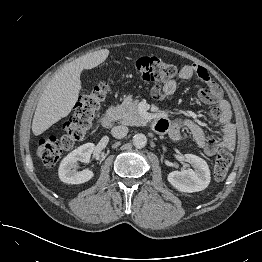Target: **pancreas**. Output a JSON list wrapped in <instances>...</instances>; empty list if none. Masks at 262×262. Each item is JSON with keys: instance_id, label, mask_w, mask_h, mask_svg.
I'll return each mask as SVG.
<instances>
[{"instance_id": "cf45deb5", "label": "pancreas", "mask_w": 262, "mask_h": 262, "mask_svg": "<svg viewBox=\"0 0 262 262\" xmlns=\"http://www.w3.org/2000/svg\"><path fill=\"white\" fill-rule=\"evenodd\" d=\"M115 120L125 125H142L144 117L138 110V100L132 99L128 96L124 99L121 105L113 107L112 109Z\"/></svg>"}]
</instances>
